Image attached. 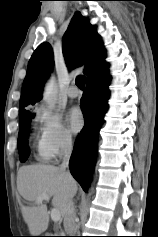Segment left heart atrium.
<instances>
[{"instance_id":"39dd6f15","label":"left heart atrium","mask_w":158,"mask_h":237,"mask_svg":"<svg viewBox=\"0 0 158 237\" xmlns=\"http://www.w3.org/2000/svg\"><path fill=\"white\" fill-rule=\"evenodd\" d=\"M67 121L72 132H79L84 126V116L79 107H72L67 113Z\"/></svg>"}]
</instances>
